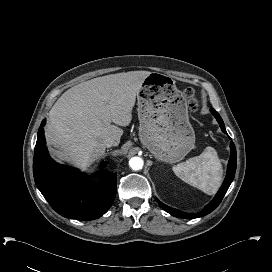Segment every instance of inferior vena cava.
<instances>
[{
    "label": "inferior vena cava",
    "mask_w": 272,
    "mask_h": 272,
    "mask_svg": "<svg viewBox=\"0 0 272 272\" xmlns=\"http://www.w3.org/2000/svg\"><path fill=\"white\" fill-rule=\"evenodd\" d=\"M105 144V147L109 148V147H112V146H117L118 145V142L115 141L114 139L112 138H107L104 142Z\"/></svg>",
    "instance_id": "inferior-vena-cava-1"
}]
</instances>
